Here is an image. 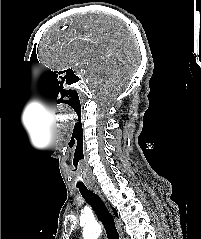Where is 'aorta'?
Listing matches in <instances>:
<instances>
[{"label":"aorta","mask_w":201,"mask_h":239,"mask_svg":"<svg viewBox=\"0 0 201 239\" xmlns=\"http://www.w3.org/2000/svg\"><path fill=\"white\" fill-rule=\"evenodd\" d=\"M101 226L98 223L87 224L83 229L84 239H98L101 234Z\"/></svg>","instance_id":"obj_1"}]
</instances>
